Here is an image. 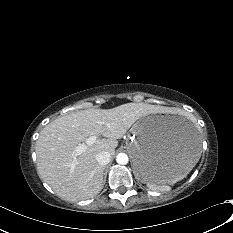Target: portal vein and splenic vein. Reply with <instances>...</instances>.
I'll return each mask as SVG.
<instances>
[{"mask_svg": "<svg viewBox=\"0 0 233 233\" xmlns=\"http://www.w3.org/2000/svg\"><path fill=\"white\" fill-rule=\"evenodd\" d=\"M101 124H104V122H101ZM97 140V136H90L86 139L85 143L79 144L76 148H75V154L79 155L81 153H83L86 150V146L87 145H92L93 143H95Z\"/></svg>", "mask_w": 233, "mask_h": 233, "instance_id": "1", "label": "portal vein and splenic vein"}]
</instances>
